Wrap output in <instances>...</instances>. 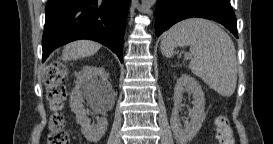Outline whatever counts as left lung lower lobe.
I'll use <instances>...</instances> for the list:
<instances>
[{"label": "left lung lower lobe", "instance_id": "obj_1", "mask_svg": "<svg viewBox=\"0 0 273 144\" xmlns=\"http://www.w3.org/2000/svg\"><path fill=\"white\" fill-rule=\"evenodd\" d=\"M191 17L219 22L238 38L236 17L230 0H157L156 36L175 23Z\"/></svg>", "mask_w": 273, "mask_h": 144}]
</instances>
